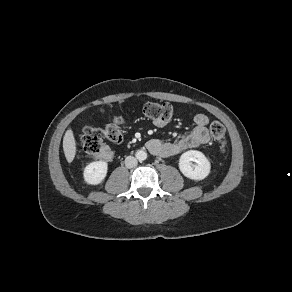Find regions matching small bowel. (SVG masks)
Listing matches in <instances>:
<instances>
[{
  "label": "small bowel",
  "mask_w": 292,
  "mask_h": 292,
  "mask_svg": "<svg viewBox=\"0 0 292 292\" xmlns=\"http://www.w3.org/2000/svg\"><path fill=\"white\" fill-rule=\"evenodd\" d=\"M194 128L181 135L173 142H164L160 139H152L147 143L151 153L161 157H171L187 149L197 148L210 141L208 131L209 118L202 113L196 114L193 118ZM157 127H163L167 121H154Z\"/></svg>",
  "instance_id": "small-bowel-1"
}]
</instances>
